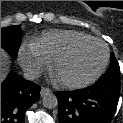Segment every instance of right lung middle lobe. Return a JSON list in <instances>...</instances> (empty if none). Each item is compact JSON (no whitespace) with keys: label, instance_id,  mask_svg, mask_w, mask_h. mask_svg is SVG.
I'll use <instances>...</instances> for the list:
<instances>
[{"label":"right lung middle lobe","instance_id":"right-lung-middle-lobe-1","mask_svg":"<svg viewBox=\"0 0 123 123\" xmlns=\"http://www.w3.org/2000/svg\"><path fill=\"white\" fill-rule=\"evenodd\" d=\"M22 31L20 25L8 26L1 29V48L6 50L12 57L17 56L21 43Z\"/></svg>","mask_w":123,"mask_h":123}]
</instances>
